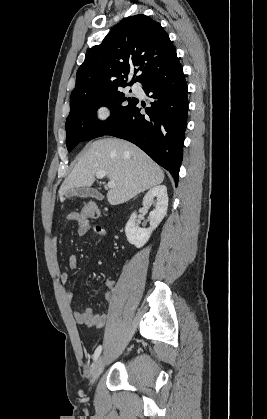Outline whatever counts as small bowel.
<instances>
[{
  "label": "small bowel",
  "instance_id": "1",
  "mask_svg": "<svg viewBox=\"0 0 267 419\" xmlns=\"http://www.w3.org/2000/svg\"><path fill=\"white\" fill-rule=\"evenodd\" d=\"M69 221L75 222L77 224V235L83 237L89 233H92L97 236H104L106 234V229L98 224H92L89 220L82 219L78 212H71L67 215ZM57 243L58 240L55 238L53 240V250L55 254L57 253ZM68 265L71 269L77 267V258L76 256H71L68 260ZM59 280L62 284H65L69 280V274L67 272H61L59 274ZM115 289V283L112 280L105 281V292L104 298L107 301H110L113 297V292ZM76 287L66 292V297L69 301H73L76 295ZM74 320L76 323L81 325H87L89 327L102 328L108 322L107 314H95L91 308H87L83 311H75L73 313Z\"/></svg>",
  "mask_w": 267,
  "mask_h": 419
}]
</instances>
